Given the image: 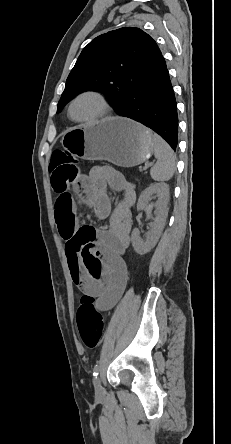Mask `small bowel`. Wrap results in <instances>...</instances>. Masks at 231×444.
Here are the masks:
<instances>
[{
  "label": "small bowel",
  "instance_id": "small-bowel-1",
  "mask_svg": "<svg viewBox=\"0 0 231 444\" xmlns=\"http://www.w3.org/2000/svg\"><path fill=\"white\" fill-rule=\"evenodd\" d=\"M55 218L72 281L85 295L93 298L97 310L111 309L121 298L128 281V269L123 257L130 244L131 207L135 192L129 181L107 166L94 167L88 176L76 179L72 185L76 194L93 210L97 219L109 217L106 229L94 236H82L69 186L57 187ZM122 193V199L111 212L107 188Z\"/></svg>",
  "mask_w": 231,
  "mask_h": 444
}]
</instances>
